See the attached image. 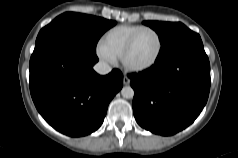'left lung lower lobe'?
I'll return each instance as SVG.
<instances>
[{
	"instance_id": "0a47b994",
	"label": "left lung lower lobe",
	"mask_w": 238,
	"mask_h": 158,
	"mask_svg": "<svg viewBox=\"0 0 238 158\" xmlns=\"http://www.w3.org/2000/svg\"><path fill=\"white\" fill-rule=\"evenodd\" d=\"M137 123L155 134L173 135L189 126L205 106L210 64L201 38L157 57L150 68L129 75Z\"/></svg>"
}]
</instances>
